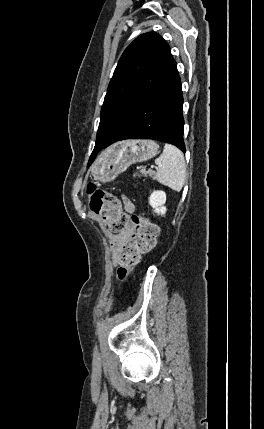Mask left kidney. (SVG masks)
Listing matches in <instances>:
<instances>
[{"label": "left kidney", "mask_w": 264, "mask_h": 429, "mask_svg": "<svg viewBox=\"0 0 264 429\" xmlns=\"http://www.w3.org/2000/svg\"><path fill=\"white\" fill-rule=\"evenodd\" d=\"M166 202V193L162 190H155L149 197V204L154 209V212L158 215L166 213V207L164 206Z\"/></svg>", "instance_id": "left-kidney-1"}]
</instances>
